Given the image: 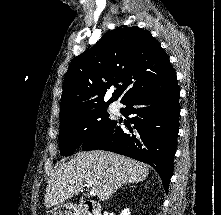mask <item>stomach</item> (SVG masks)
<instances>
[{
	"label": "stomach",
	"instance_id": "stomach-1",
	"mask_svg": "<svg viewBox=\"0 0 221 215\" xmlns=\"http://www.w3.org/2000/svg\"><path fill=\"white\" fill-rule=\"evenodd\" d=\"M52 215H75V207L69 203H61L52 209Z\"/></svg>",
	"mask_w": 221,
	"mask_h": 215
}]
</instances>
